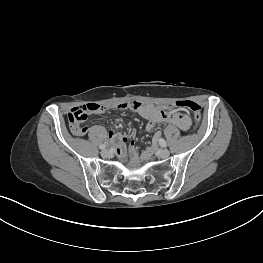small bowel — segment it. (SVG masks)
<instances>
[{
	"label": "small bowel",
	"mask_w": 263,
	"mask_h": 263,
	"mask_svg": "<svg viewBox=\"0 0 263 263\" xmlns=\"http://www.w3.org/2000/svg\"><path fill=\"white\" fill-rule=\"evenodd\" d=\"M88 105H92V104L89 103L83 106H88ZM116 107L122 110L130 109L136 112L137 114H139L141 117L145 118L148 121L146 126L147 131H151L155 126V124L159 122L174 124L182 130H186L190 126V119L187 115L175 111H167L161 107H157L149 103L132 100L129 102L121 103ZM105 110L106 108L104 106H101L100 109L90 111L89 113H101L104 112ZM158 137L159 134H157L155 138ZM108 139L111 143L116 145L118 154L122 155L124 152V147L127 143L134 144L135 132L132 131L128 135L110 132L108 134ZM147 156L148 154L146 153L144 154L143 158L146 159Z\"/></svg>",
	"instance_id": "obj_1"
}]
</instances>
